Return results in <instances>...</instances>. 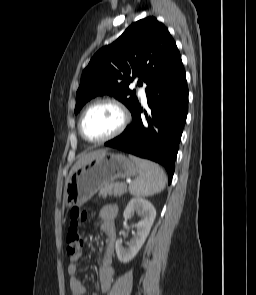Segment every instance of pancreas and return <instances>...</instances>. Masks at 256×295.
Here are the masks:
<instances>
[{"label": "pancreas", "mask_w": 256, "mask_h": 295, "mask_svg": "<svg viewBox=\"0 0 256 295\" xmlns=\"http://www.w3.org/2000/svg\"><path fill=\"white\" fill-rule=\"evenodd\" d=\"M127 192V186L126 184L122 182H116V183H111L108 185L103 186L100 189L99 196H102L103 198H106L107 195L110 196H121Z\"/></svg>", "instance_id": "1"}]
</instances>
